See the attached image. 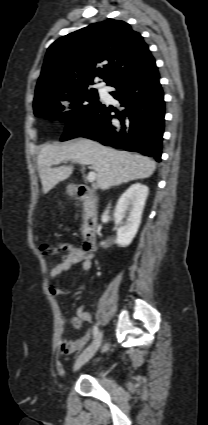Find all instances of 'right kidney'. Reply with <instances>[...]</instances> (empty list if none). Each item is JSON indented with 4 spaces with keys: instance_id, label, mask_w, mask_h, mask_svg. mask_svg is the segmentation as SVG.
Returning a JSON list of instances; mask_svg holds the SVG:
<instances>
[{
    "instance_id": "1",
    "label": "right kidney",
    "mask_w": 208,
    "mask_h": 425,
    "mask_svg": "<svg viewBox=\"0 0 208 425\" xmlns=\"http://www.w3.org/2000/svg\"><path fill=\"white\" fill-rule=\"evenodd\" d=\"M148 193L147 186L135 183L119 198L114 210L115 223L120 224L126 218L125 224L117 229L116 244L119 246L130 245L137 234Z\"/></svg>"
}]
</instances>
